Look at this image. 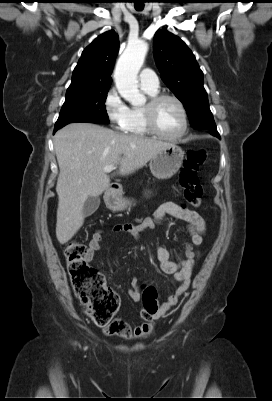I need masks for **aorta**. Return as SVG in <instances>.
<instances>
[{"label": "aorta", "instance_id": "obj_1", "mask_svg": "<svg viewBox=\"0 0 272 401\" xmlns=\"http://www.w3.org/2000/svg\"><path fill=\"white\" fill-rule=\"evenodd\" d=\"M148 51V44L144 41L129 43L117 61L114 80L119 94L134 106L146 102L145 96L138 89V72L143 65Z\"/></svg>", "mask_w": 272, "mask_h": 401}]
</instances>
